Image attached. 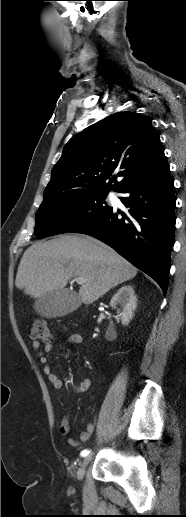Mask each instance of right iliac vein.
<instances>
[{
	"label": "right iliac vein",
	"instance_id": "1",
	"mask_svg": "<svg viewBox=\"0 0 186 517\" xmlns=\"http://www.w3.org/2000/svg\"><path fill=\"white\" fill-rule=\"evenodd\" d=\"M91 458H92V455H88L86 456L83 461H82V464H81V468L79 470V476H82L83 473H84V470L85 468L88 466V464L90 463L91 461Z\"/></svg>",
	"mask_w": 186,
	"mask_h": 517
}]
</instances>
